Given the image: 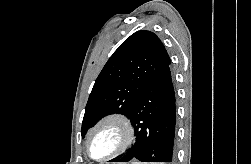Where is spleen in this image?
Returning a JSON list of instances; mask_svg holds the SVG:
<instances>
[{
	"label": "spleen",
	"mask_w": 251,
	"mask_h": 164,
	"mask_svg": "<svg viewBox=\"0 0 251 164\" xmlns=\"http://www.w3.org/2000/svg\"><path fill=\"white\" fill-rule=\"evenodd\" d=\"M140 162H134V164H139ZM141 164H143V163H141Z\"/></svg>",
	"instance_id": "spleen-1"
}]
</instances>
